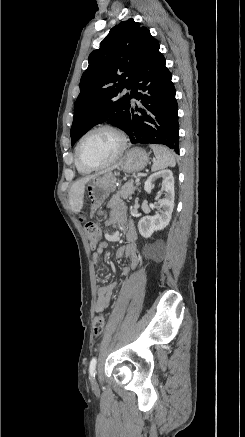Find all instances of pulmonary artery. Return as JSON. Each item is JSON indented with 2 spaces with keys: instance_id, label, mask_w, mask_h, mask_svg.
Returning <instances> with one entry per match:
<instances>
[{
  "instance_id": "1",
  "label": "pulmonary artery",
  "mask_w": 245,
  "mask_h": 437,
  "mask_svg": "<svg viewBox=\"0 0 245 437\" xmlns=\"http://www.w3.org/2000/svg\"><path fill=\"white\" fill-rule=\"evenodd\" d=\"M125 92H126V93H130V90H129V89H125Z\"/></svg>"
}]
</instances>
